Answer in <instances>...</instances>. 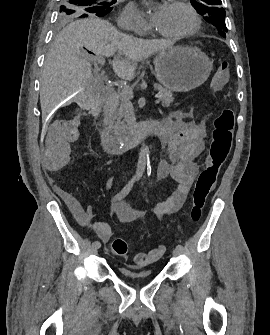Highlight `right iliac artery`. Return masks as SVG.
Returning a JSON list of instances; mask_svg holds the SVG:
<instances>
[{
    "label": "right iliac artery",
    "instance_id": "right-iliac-artery-1",
    "mask_svg": "<svg viewBox=\"0 0 270 335\" xmlns=\"http://www.w3.org/2000/svg\"><path fill=\"white\" fill-rule=\"evenodd\" d=\"M134 180H131L128 182V184L118 193L116 194L113 199L112 202H115L117 200H121L123 199L131 190L132 186H133ZM92 246H95L97 248L101 247V243L99 241H94L92 243Z\"/></svg>",
    "mask_w": 270,
    "mask_h": 335
}]
</instances>
